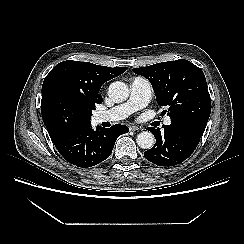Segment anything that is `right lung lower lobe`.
I'll use <instances>...</instances> for the list:
<instances>
[{
	"instance_id": "98d812e1",
	"label": "right lung lower lobe",
	"mask_w": 244,
	"mask_h": 244,
	"mask_svg": "<svg viewBox=\"0 0 244 244\" xmlns=\"http://www.w3.org/2000/svg\"><path fill=\"white\" fill-rule=\"evenodd\" d=\"M129 131L125 125L116 124L110 128L91 124L77 126L51 135L59 153L69 163L78 167H92L107 159L116 139Z\"/></svg>"
}]
</instances>
